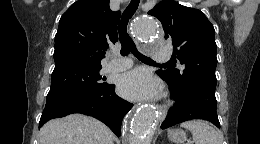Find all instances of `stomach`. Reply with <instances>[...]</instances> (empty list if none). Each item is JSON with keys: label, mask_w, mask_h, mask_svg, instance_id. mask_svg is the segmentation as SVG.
I'll list each match as a JSON object with an SVG mask.
<instances>
[{"label": "stomach", "mask_w": 260, "mask_h": 144, "mask_svg": "<svg viewBox=\"0 0 260 144\" xmlns=\"http://www.w3.org/2000/svg\"><path fill=\"white\" fill-rule=\"evenodd\" d=\"M168 138L176 144H184L186 141V132L181 129H171L168 131Z\"/></svg>", "instance_id": "1"}]
</instances>
